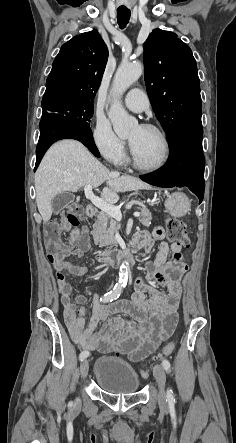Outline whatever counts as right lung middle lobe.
<instances>
[{
    "mask_svg": "<svg viewBox=\"0 0 236 443\" xmlns=\"http://www.w3.org/2000/svg\"><path fill=\"white\" fill-rule=\"evenodd\" d=\"M43 114L57 113L70 118L74 123L90 129L93 102L73 96H57L42 102Z\"/></svg>",
    "mask_w": 236,
    "mask_h": 443,
    "instance_id": "dd1d6c3e",
    "label": "right lung middle lobe"
}]
</instances>
